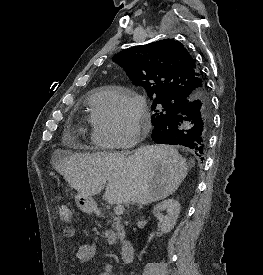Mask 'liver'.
I'll return each instance as SVG.
<instances>
[{"label":"liver","mask_w":263,"mask_h":275,"mask_svg":"<svg viewBox=\"0 0 263 275\" xmlns=\"http://www.w3.org/2000/svg\"><path fill=\"white\" fill-rule=\"evenodd\" d=\"M53 166L71 187L85 196L99 194L109 204L144 205L172 195L189 165L177 150L147 145L126 157L121 153L65 154L56 152Z\"/></svg>","instance_id":"liver-1"}]
</instances>
